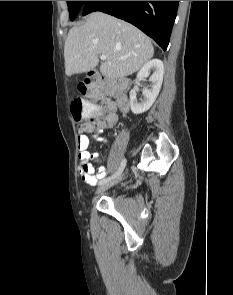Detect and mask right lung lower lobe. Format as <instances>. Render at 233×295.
<instances>
[{"instance_id": "right-lung-lower-lobe-1", "label": "right lung lower lobe", "mask_w": 233, "mask_h": 295, "mask_svg": "<svg viewBox=\"0 0 233 295\" xmlns=\"http://www.w3.org/2000/svg\"><path fill=\"white\" fill-rule=\"evenodd\" d=\"M179 1H86L83 15L102 11L138 27L166 50Z\"/></svg>"}]
</instances>
